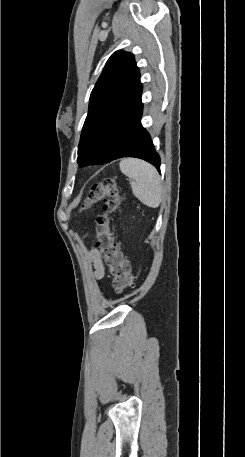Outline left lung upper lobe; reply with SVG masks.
Listing matches in <instances>:
<instances>
[{"label": "left lung upper lobe", "mask_w": 245, "mask_h": 457, "mask_svg": "<svg viewBox=\"0 0 245 457\" xmlns=\"http://www.w3.org/2000/svg\"><path fill=\"white\" fill-rule=\"evenodd\" d=\"M142 83L134 56L124 51L111 55L90 96L80 143L98 126H105L117 115L140 110Z\"/></svg>", "instance_id": "5c2ea615"}]
</instances>
